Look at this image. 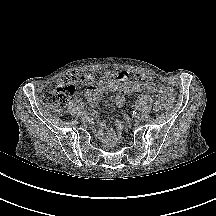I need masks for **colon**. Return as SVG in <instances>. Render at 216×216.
I'll return each mask as SVG.
<instances>
[{
    "instance_id": "5ec220e1",
    "label": "colon",
    "mask_w": 216,
    "mask_h": 216,
    "mask_svg": "<svg viewBox=\"0 0 216 216\" xmlns=\"http://www.w3.org/2000/svg\"><path fill=\"white\" fill-rule=\"evenodd\" d=\"M87 84L90 82L88 75H82L76 71L68 73L59 83L58 87L45 93L42 102L56 113H61L75 92L77 83ZM177 103L175 93L171 89L164 92V105L173 107Z\"/></svg>"
}]
</instances>
